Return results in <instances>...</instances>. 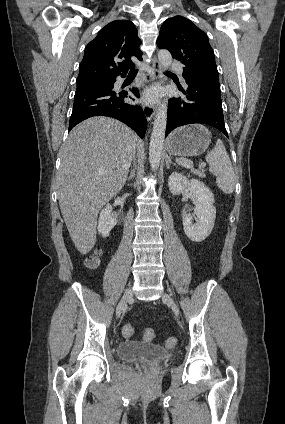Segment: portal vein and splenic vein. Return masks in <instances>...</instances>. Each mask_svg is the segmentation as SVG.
I'll list each match as a JSON object with an SVG mask.
<instances>
[{
    "mask_svg": "<svg viewBox=\"0 0 285 424\" xmlns=\"http://www.w3.org/2000/svg\"><path fill=\"white\" fill-rule=\"evenodd\" d=\"M206 166V164L205 163H201V167H205Z\"/></svg>",
    "mask_w": 285,
    "mask_h": 424,
    "instance_id": "1",
    "label": "portal vein and splenic vein"
}]
</instances>
